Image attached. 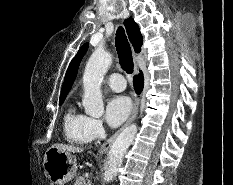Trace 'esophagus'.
Masks as SVG:
<instances>
[{"instance_id": "1", "label": "esophagus", "mask_w": 233, "mask_h": 185, "mask_svg": "<svg viewBox=\"0 0 233 185\" xmlns=\"http://www.w3.org/2000/svg\"><path fill=\"white\" fill-rule=\"evenodd\" d=\"M136 71H137V66H136ZM139 104H140V99L136 98L131 115L128 118L127 122L124 124L123 127H121L106 142H104L101 145V147L99 149L100 154H104V153L108 152V150L111 148V146H112L113 142L115 141V139L117 138V136L124 130L125 127H127L129 124H131L136 119V117L138 115V111H139Z\"/></svg>"}]
</instances>
